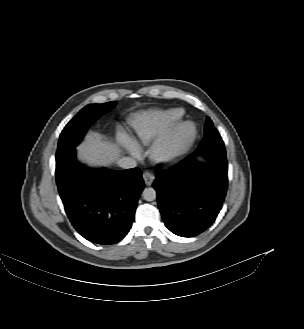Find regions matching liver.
Returning a JSON list of instances; mask_svg holds the SVG:
<instances>
[{
	"instance_id": "1",
	"label": "liver",
	"mask_w": 304,
	"mask_h": 329,
	"mask_svg": "<svg viewBox=\"0 0 304 329\" xmlns=\"http://www.w3.org/2000/svg\"><path fill=\"white\" fill-rule=\"evenodd\" d=\"M79 158L91 164L109 165L115 161L121 150L119 147L105 140L97 132H89L84 143L78 146Z\"/></svg>"
}]
</instances>
